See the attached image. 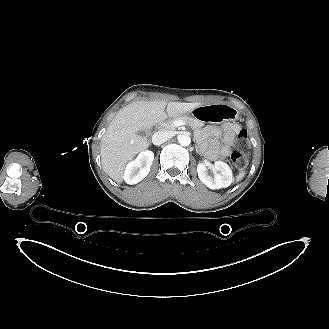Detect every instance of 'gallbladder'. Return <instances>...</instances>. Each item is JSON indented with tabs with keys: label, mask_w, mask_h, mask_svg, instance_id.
Instances as JSON below:
<instances>
[{
	"label": "gallbladder",
	"mask_w": 329,
	"mask_h": 329,
	"mask_svg": "<svg viewBox=\"0 0 329 329\" xmlns=\"http://www.w3.org/2000/svg\"><path fill=\"white\" fill-rule=\"evenodd\" d=\"M138 134L141 136H145L146 135V130H140L138 131Z\"/></svg>",
	"instance_id": "gallbladder-1"
}]
</instances>
